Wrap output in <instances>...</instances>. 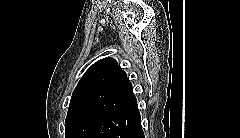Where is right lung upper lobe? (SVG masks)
I'll use <instances>...</instances> for the list:
<instances>
[{
  "label": "right lung upper lobe",
  "mask_w": 240,
  "mask_h": 138,
  "mask_svg": "<svg viewBox=\"0 0 240 138\" xmlns=\"http://www.w3.org/2000/svg\"><path fill=\"white\" fill-rule=\"evenodd\" d=\"M132 84L113 58L94 63L76 86L67 117L85 112L110 114L133 101Z\"/></svg>",
  "instance_id": "cb5924a9"
}]
</instances>
